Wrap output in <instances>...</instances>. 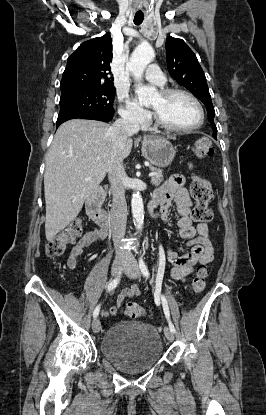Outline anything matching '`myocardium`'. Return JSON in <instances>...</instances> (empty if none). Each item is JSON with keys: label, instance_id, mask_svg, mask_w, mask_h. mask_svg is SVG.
Returning <instances> with one entry per match:
<instances>
[{"label": "myocardium", "instance_id": "obj_1", "mask_svg": "<svg viewBox=\"0 0 266 415\" xmlns=\"http://www.w3.org/2000/svg\"><path fill=\"white\" fill-rule=\"evenodd\" d=\"M160 94L165 97V98H170L172 96L175 95H183L186 96L187 98H189L197 107L198 111H199V121L190 127H177V126H173L169 123H167L155 110H154V119H155V123L158 127L168 131V132H173V133H187V132H191L194 131L198 128H200L204 121H205V112H204V108L202 106V104L200 103V101L197 99L196 96H194L191 92L184 90V89H180V88H164L162 90H160Z\"/></svg>", "mask_w": 266, "mask_h": 415}]
</instances>
